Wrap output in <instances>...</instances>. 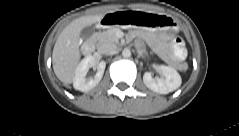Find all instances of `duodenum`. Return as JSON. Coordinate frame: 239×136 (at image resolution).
Segmentation results:
<instances>
[{"instance_id":"410a0bca","label":"duodenum","mask_w":239,"mask_h":136,"mask_svg":"<svg viewBox=\"0 0 239 136\" xmlns=\"http://www.w3.org/2000/svg\"><path fill=\"white\" fill-rule=\"evenodd\" d=\"M115 22V18L114 17H105L102 22L101 25H110L112 23ZM95 49V43L94 42H87L84 44L83 46V52L85 54H91Z\"/></svg>"}]
</instances>
